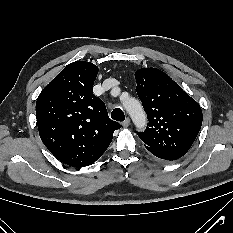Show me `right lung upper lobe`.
I'll list each match as a JSON object with an SVG mask.
<instances>
[{"mask_svg": "<svg viewBox=\"0 0 233 233\" xmlns=\"http://www.w3.org/2000/svg\"><path fill=\"white\" fill-rule=\"evenodd\" d=\"M98 67L76 61L66 66L36 102L39 135L48 150L69 166L93 164L107 150L120 124L93 94Z\"/></svg>", "mask_w": 233, "mask_h": 233, "instance_id": "right-lung-upper-lobe-1", "label": "right lung upper lobe"}]
</instances>
